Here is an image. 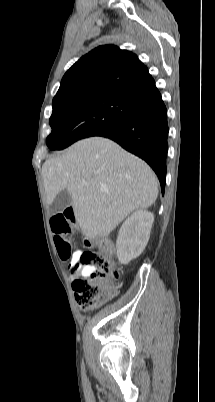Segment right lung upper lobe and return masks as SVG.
<instances>
[{
    "label": "right lung upper lobe",
    "instance_id": "right-lung-upper-lobe-1",
    "mask_svg": "<svg viewBox=\"0 0 215 402\" xmlns=\"http://www.w3.org/2000/svg\"><path fill=\"white\" fill-rule=\"evenodd\" d=\"M94 93L118 95L138 104L160 94L138 57L114 45L99 46L81 57L63 76L53 100Z\"/></svg>",
    "mask_w": 215,
    "mask_h": 402
}]
</instances>
